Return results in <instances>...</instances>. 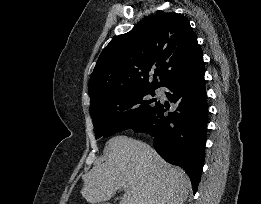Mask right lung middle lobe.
Returning <instances> with one entry per match:
<instances>
[{"label": "right lung middle lobe", "instance_id": "obj_1", "mask_svg": "<svg viewBox=\"0 0 261 204\" xmlns=\"http://www.w3.org/2000/svg\"><path fill=\"white\" fill-rule=\"evenodd\" d=\"M149 95L154 96V90L126 91L90 107L96 139L130 129L142 121L158 103Z\"/></svg>", "mask_w": 261, "mask_h": 204}]
</instances>
